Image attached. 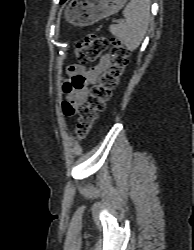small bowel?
I'll list each match as a JSON object with an SVG mask.
<instances>
[{
    "mask_svg": "<svg viewBox=\"0 0 194 250\" xmlns=\"http://www.w3.org/2000/svg\"><path fill=\"white\" fill-rule=\"evenodd\" d=\"M111 58L103 55L99 61L88 68L74 64L67 69V78L62 87L66 95L63 108H74L83 104L88 96L89 87L95 84L100 75L110 66Z\"/></svg>",
    "mask_w": 194,
    "mask_h": 250,
    "instance_id": "c3829d8e",
    "label": "small bowel"
}]
</instances>
